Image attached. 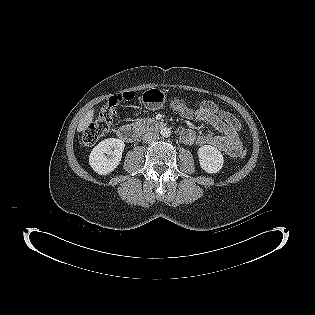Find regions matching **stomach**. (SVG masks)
Masks as SVG:
<instances>
[{
	"instance_id": "stomach-1",
	"label": "stomach",
	"mask_w": 315,
	"mask_h": 315,
	"mask_svg": "<svg viewBox=\"0 0 315 315\" xmlns=\"http://www.w3.org/2000/svg\"><path fill=\"white\" fill-rule=\"evenodd\" d=\"M142 101L147 108L157 110L166 102V95L162 90L153 88L142 94Z\"/></svg>"
}]
</instances>
